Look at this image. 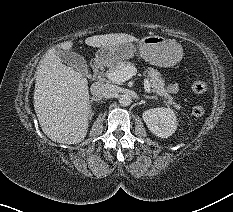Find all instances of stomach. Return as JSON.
<instances>
[{"label":"stomach","mask_w":233,"mask_h":212,"mask_svg":"<svg viewBox=\"0 0 233 212\" xmlns=\"http://www.w3.org/2000/svg\"><path fill=\"white\" fill-rule=\"evenodd\" d=\"M136 52L135 45L123 43L114 47H101L97 55L106 62L131 58ZM139 52L142 58L160 67H171L182 60V46L174 39H166L157 35L144 37L139 42Z\"/></svg>","instance_id":"stomach-1"}]
</instances>
